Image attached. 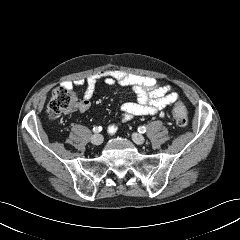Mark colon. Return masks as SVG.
<instances>
[{"instance_id": "obj_1", "label": "colon", "mask_w": 240, "mask_h": 240, "mask_svg": "<svg viewBox=\"0 0 240 240\" xmlns=\"http://www.w3.org/2000/svg\"><path fill=\"white\" fill-rule=\"evenodd\" d=\"M79 101L75 93L66 86L54 88L47 106V114L51 119H58L79 108ZM174 120L178 126H186L188 123V113L182 103H175L172 109Z\"/></svg>"}]
</instances>
